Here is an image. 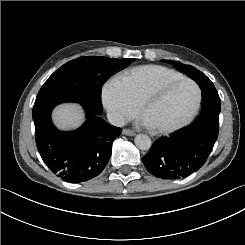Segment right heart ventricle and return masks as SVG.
Here are the masks:
<instances>
[{
  "label": "right heart ventricle",
  "instance_id": "obj_1",
  "mask_svg": "<svg viewBox=\"0 0 245 245\" xmlns=\"http://www.w3.org/2000/svg\"><path fill=\"white\" fill-rule=\"evenodd\" d=\"M180 76L178 72L163 66L145 65L117 75L112 83L122 87L137 103L141 92L151 83Z\"/></svg>",
  "mask_w": 245,
  "mask_h": 245
}]
</instances>
